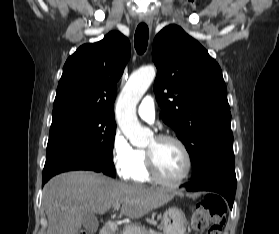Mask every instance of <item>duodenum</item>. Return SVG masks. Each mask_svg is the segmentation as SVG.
Returning a JSON list of instances; mask_svg holds the SVG:
<instances>
[{
    "mask_svg": "<svg viewBox=\"0 0 279 234\" xmlns=\"http://www.w3.org/2000/svg\"><path fill=\"white\" fill-rule=\"evenodd\" d=\"M117 230L116 224L114 221H108L105 223L103 228L100 231V234H115Z\"/></svg>",
    "mask_w": 279,
    "mask_h": 234,
    "instance_id": "obj_1",
    "label": "duodenum"
}]
</instances>
